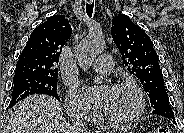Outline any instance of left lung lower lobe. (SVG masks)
<instances>
[{"instance_id":"left-lung-lower-lobe-1","label":"left lung lower lobe","mask_w":184,"mask_h":133,"mask_svg":"<svg viewBox=\"0 0 184 133\" xmlns=\"http://www.w3.org/2000/svg\"><path fill=\"white\" fill-rule=\"evenodd\" d=\"M154 114L163 116L171 120L173 123H176L175 117H174V112L170 106H162L158 107L153 111Z\"/></svg>"}]
</instances>
